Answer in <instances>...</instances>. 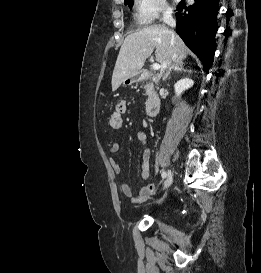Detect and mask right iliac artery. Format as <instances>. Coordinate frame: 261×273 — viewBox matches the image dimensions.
Returning <instances> with one entry per match:
<instances>
[{
    "instance_id": "82829eb1",
    "label": "right iliac artery",
    "mask_w": 261,
    "mask_h": 273,
    "mask_svg": "<svg viewBox=\"0 0 261 273\" xmlns=\"http://www.w3.org/2000/svg\"><path fill=\"white\" fill-rule=\"evenodd\" d=\"M161 176H162L163 179H165L166 176H167V173L165 171H163L162 174H161Z\"/></svg>"
}]
</instances>
